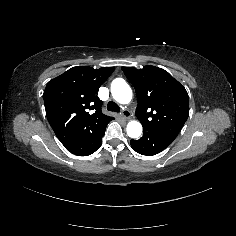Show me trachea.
I'll return each instance as SVG.
<instances>
[{
    "label": "trachea",
    "instance_id": "1",
    "mask_svg": "<svg viewBox=\"0 0 236 236\" xmlns=\"http://www.w3.org/2000/svg\"><path fill=\"white\" fill-rule=\"evenodd\" d=\"M107 109L108 111H113L116 113H119L121 110L120 107L115 102H112V101L108 102Z\"/></svg>",
    "mask_w": 236,
    "mask_h": 236
}]
</instances>
